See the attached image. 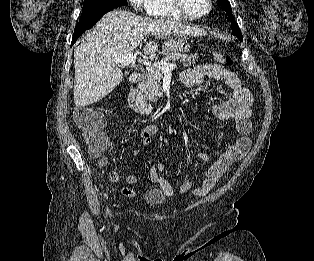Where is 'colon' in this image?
<instances>
[{"label":"colon","mask_w":314,"mask_h":261,"mask_svg":"<svg viewBox=\"0 0 314 261\" xmlns=\"http://www.w3.org/2000/svg\"><path fill=\"white\" fill-rule=\"evenodd\" d=\"M215 58L227 65L232 66L234 60L225 50L214 51ZM76 125L80 128L82 136L87 143L89 152L93 156H100L109 149V140L101 130L103 116L96 110L87 107L76 108L73 112Z\"/></svg>","instance_id":"5ec220e1"}]
</instances>
